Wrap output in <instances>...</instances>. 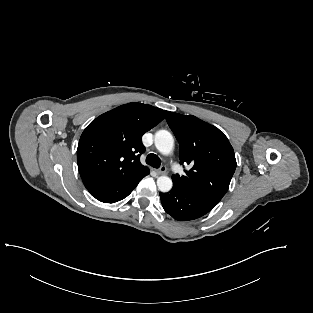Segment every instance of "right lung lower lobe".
<instances>
[{"label": "right lung lower lobe", "mask_w": 313, "mask_h": 313, "mask_svg": "<svg viewBox=\"0 0 313 313\" xmlns=\"http://www.w3.org/2000/svg\"><path fill=\"white\" fill-rule=\"evenodd\" d=\"M148 174L149 170L126 181L91 189L88 191L93 197L101 202L114 203L126 198L132 192V190L136 188L139 181Z\"/></svg>", "instance_id": "1"}]
</instances>
